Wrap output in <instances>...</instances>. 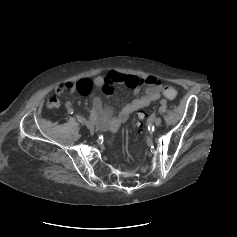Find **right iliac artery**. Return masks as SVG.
I'll return each instance as SVG.
<instances>
[{"instance_id":"right-iliac-artery-1","label":"right iliac artery","mask_w":237,"mask_h":237,"mask_svg":"<svg viewBox=\"0 0 237 237\" xmlns=\"http://www.w3.org/2000/svg\"><path fill=\"white\" fill-rule=\"evenodd\" d=\"M67 111H68V113H69V114H73V113H74V110H73V108H68V110H67Z\"/></svg>"}]
</instances>
